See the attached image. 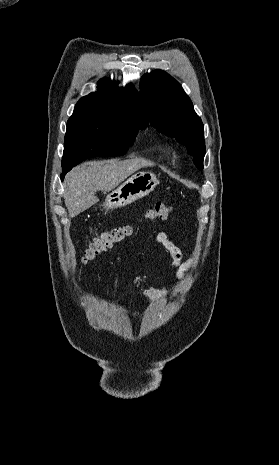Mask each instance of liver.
I'll return each instance as SVG.
<instances>
[{
  "instance_id": "6515ba94",
  "label": "liver",
  "mask_w": 279,
  "mask_h": 465,
  "mask_svg": "<svg viewBox=\"0 0 279 465\" xmlns=\"http://www.w3.org/2000/svg\"><path fill=\"white\" fill-rule=\"evenodd\" d=\"M153 166L145 159L91 161L73 168L64 183V201L71 218L99 201L97 191L109 192L143 167Z\"/></svg>"
}]
</instances>
